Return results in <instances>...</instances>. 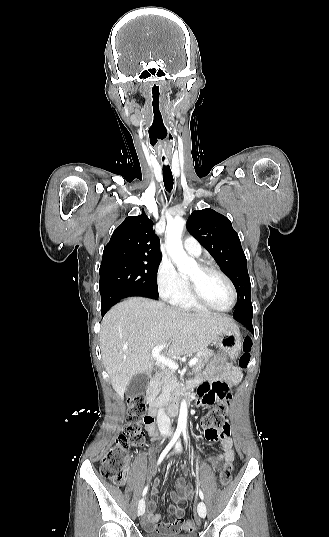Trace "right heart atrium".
<instances>
[{"mask_svg":"<svg viewBox=\"0 0 329 537\" xmlns=\"http://www.w3.org/2000/svg\"><path fill=\"white\" fill-rule=\"evenodd\" d=\"M156 286L161 298L170 302H174L180 298L187 289L185 279L167 258H163L158 265Z\"/></svg>","mask_w":329,"mask_h":537,"instance_id":"1","label":"right heart atrium"}]
</instances>
